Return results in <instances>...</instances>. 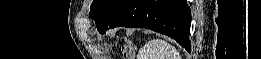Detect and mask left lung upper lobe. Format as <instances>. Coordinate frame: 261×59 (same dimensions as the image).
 <instances>
[{"label":"left lung upper lobe","instance_id":"1","mask_svg":"<svg viewBox=\"0 0 261 59\" xmlns=\"http://www.w3.org/2000/svg\"><path fill=\"white\" fill-rule=\"evenodd\" d=\"M120 0H94L90 8V17L97 24Z\"/></svg>","mask_w":261,"mask_h":59}]
</instances>
